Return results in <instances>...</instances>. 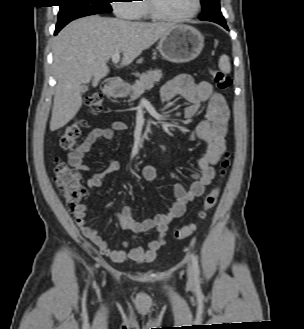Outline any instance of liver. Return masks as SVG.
I'll return each instance as SVG.
<instances>
[{
	"mask_svg": "<svg viewBox=\"0 0 304 329\" xmlns=\"http://www.w3.org/2000/svg\"><path fill=\"white\" fill-rule=\"evenodd\" d=\"M172 27L170 23L131 22L99 15L74 20L64 27L53 45L57 85L50 130L56 131L74 118L83 102L82 84L93 79L96 86L109 73L107 62L113 54L122 53L121 65H128Z\"/></svg>",
	"mask_w": 304,
	"mask_h": 329,
	"instance_id": "1",
	"label": "liver"
}]
</instances>
